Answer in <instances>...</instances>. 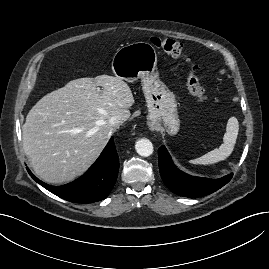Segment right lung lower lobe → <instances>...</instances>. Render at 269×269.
Here are the masks:
<instances>
[{
  "mask_svg": "<svg viewBox=\"0 0 269 269\" xmlns=\"http://www.w3.org/2000/svg\"><path fill=\"white\" fill-rule=\"evenodd\" d=\"M27 170L37 183L62 199L74 203H91L105 199L112 190L118 176L119 158L112 137L88 171L69 184L57 187L48 185Z\"/></svg>",
  "mask_w": 269,
  "mask_h": 269,
  "instance_id": "obj_1",
  "label": "right lung lower lobe"
}]
</instances>
